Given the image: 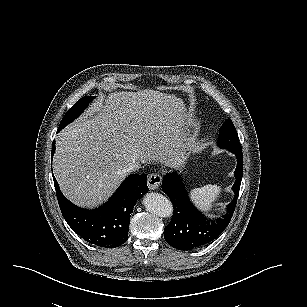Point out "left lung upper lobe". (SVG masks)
Segmentation results:
<instances>
[{"mask_svg": "<svg viewBox=\"0 0 307 307\" xmlns=\"http://www.w3.org/2000/svg\"><path fill=\"white\" fill-rule=\"evenodd\" d=\"M218 145L221 148H226L231 152L242 151L236 128L230 118H228L220 128Z\"/></svg>", "mask_w": 307, "mask_h": 307, "instance_id": "left-lung-upper-lobe-1", "label": "left lung upper lobe"}]
</instances>
